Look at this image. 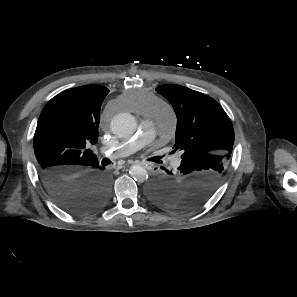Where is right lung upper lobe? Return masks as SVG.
Masks as SVG:
<instances>
[{
	"instance_id": "right-lung-upper-lobe-1",
	"label": "right lung upper lobe",
	"mask_w": 297,
	"mask_h": 297,
	"mask_svg": "<svg viewBox=\"0 0 297 297\" xmlns=\"http://www.w3.org/2000/svg\"><path fill=\"white\" fill-rule=\"evenodd\" d=\"M106 87L87 85L65 90L43 109L33 139L39 170L77 173L99 162L86 142L98 141L101 104Z\"/></svg>"
}]
</instances>
